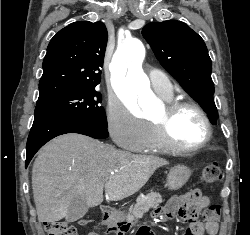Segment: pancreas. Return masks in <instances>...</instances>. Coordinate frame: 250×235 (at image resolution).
<instances>
[{
    "label": "pancreas",
    "mask_w": 250,
    "mask_h": 235,
    "mask_svg": "<svg viewBox=\"0 0 250 235\" xmlns=\"http://www.w3.org/2000/svg\"><path fill=\"white\" fill-rule=\"evenodd\" d=\"M163 202L161 194L151 192L147 198L138 197L136 204L132 205L126 216L127 221L137 222L150 208H156Z\"/></svg>",
    "instance_id": "obj_1"
}]
</instances>
